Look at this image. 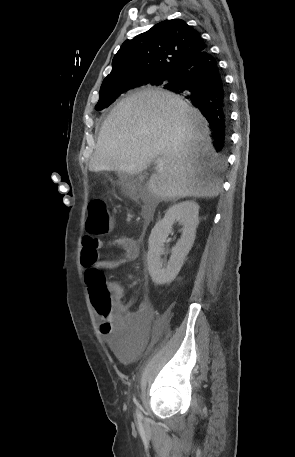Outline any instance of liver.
I'll return each mask as SVG.
<instances>
[{"label":"liver","instance_id":"1","mask_svg":"<svg viewBox=\"0 0 295 457\" xmlns=\"http://www.w3.org/2000/svg\"><path fill=\"white\" fill-rule=\"evenodd\" d=\"M200 111L164 90H144L121 100L104 120L89 170L135 175L156 158L163 167L153 173L148 190L164 200L215 197L221 182Z\"/></svg>","mask_w":295,"mask_h":457}]
</instances>
